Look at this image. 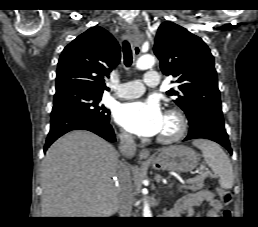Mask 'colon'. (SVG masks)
Masks as SVG:
<instances>
[{"mask_svg": "<svg viewBox=\"0 0 258 227\" xmlns=\"http://www.w3.org/2000/svg\"><path fill=\"white\" fill-rule=\"evenodd\" d=\"M218 193H219V196L221 198L222 203L226 207L224 212H223V216L224 217H230L231 216V211L228 209V206L232 202V199H233L232 194H231V192H229L225 189H218Z\"/></svg>", "mask_w": 258, "mask_h": 227, "instance_id": "1", "label": "colon"}]
</instances>
